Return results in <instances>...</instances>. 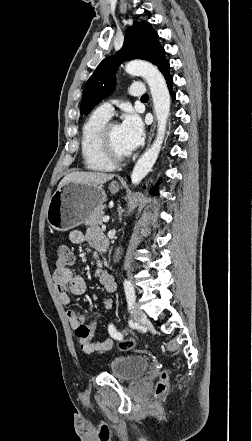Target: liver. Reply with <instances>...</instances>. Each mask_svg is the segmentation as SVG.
<instances>
[{"instance_id": "6515ba94", "label": "liver", "mask_w": 252, "mask_h": 441, "mask_svg": "<svg viewBox=\"0 0 252 441\" xmlns=\"http://www.w3.org/2000/svg\"><path fill=\"white\" fill-rule=\"evenodd\" d=\"M113 177H114L113 174H107L102 172L75 171L66 175L59 183V187H62L69 182L102 186L104 183L111 180Z\"/></svg>"}]
</instances>
